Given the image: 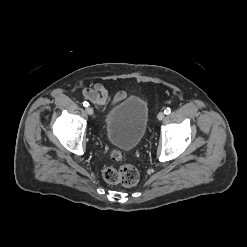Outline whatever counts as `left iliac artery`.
I'll return each mask as SVG.
<instances>
[{"mask_svg":"<svg viewBox=\"0 0 247 247\" xmlns=\"http://www.w3.org/2000/svg\"><path fill=\"white\" fill-rule=\"evenodd\" d=\"M164 113H165L166 115L170 114V113H171V109H170V108H166V109L164 110Z\"/></svg>","mask_w":247,"mask_h":247,"instance_id":"1","label":"left iliac artery"}]
</instances>
